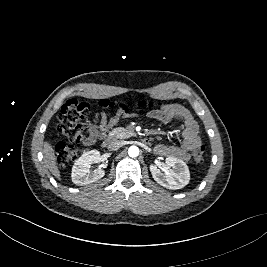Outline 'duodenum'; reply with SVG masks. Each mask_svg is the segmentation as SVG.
Masks as SVG:
<instances>
[{
  "label": "duodenum",
  "instance_id": "duodenum-1",
  "mask_svg": "<svg viewBox=\"0 0 267 267\" xmlns=\"http://www.w3.org/2000/svg\"><path fill=\"white\" fill-rule=\"evenodd\" d=\"M111 141H112V139H111L110 137H105V138L102 140V146H103V147L108 146V145L111 143ZM143 142H144L145 144H147V143L149 142V140H148L147 138H145V139L143 140Z\"/></svg>",
  "mask_w": 267,
  "mask_h": 267
}]
</instances>
